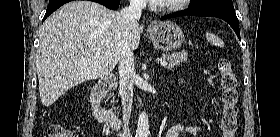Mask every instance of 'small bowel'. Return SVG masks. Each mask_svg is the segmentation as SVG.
Wrapping results in <instances>:
<instances>
[{"instance_id": "1", "label": "small bowel", "mask_w": 280, "mask_h": 137, "mask_svg": "<svg viewBox=\"0 0 280 137\" xmlns=\"http://www.w3.org/2000/svg\"><path fill=\"white\" fill-rule=\"evenodd\" d=\"M184 131H188V128L184 127L182 124H175L168 130L167 137H179Z\"/></svg>"}]
</instances>
